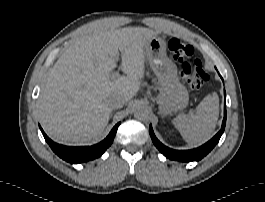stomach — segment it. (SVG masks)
I'll return each mask as SVG.
<instances>
[{"instance_id": "stomach-1", "label": "stomach", "mask_w": 265, "mask_h": 202, "mask_svg": "<svg viewBox=\"0 0 265 202\" xmlns=\"http://www.w3.org/2000/svg\"><path fill=\"white\" fill-rule=\"evenodd\" d=\"M166 42L154 36L144 46V54L159 81L160 114L170 115L186 108L189 100L187 89L180 83L177 67L167 57Z\"/></svg>"}]
</instances>
